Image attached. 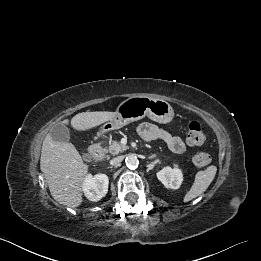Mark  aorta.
Returning a JSON list of instances; mask_svg holds the SVG:
<instances>
[{"label":"aorta","instance_id":"1","mask_svg":"<svg viewBox=\"0 0 261 261\" xmlns=\"http://www.w3.org/2000/svg\"><path fill=\"white\" fill-rule=\"evenodd\" d=\"M125 162L128 168L135 169L138 167L139 161L134 154H128L125 158Z\"/></svg>","mask_w":261,"mask_h":261}]
</instances>
